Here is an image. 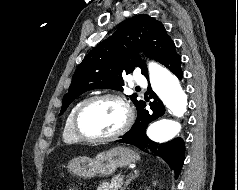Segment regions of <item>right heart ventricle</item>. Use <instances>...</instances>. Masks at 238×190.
I'll return each instance as SVG.
<instances>
[{"label": "right heart ventricle", "instance_id": "obj_1", "mask_svg": "<svg viewBox=\"0 0 238 190\" xmlns=\"http://www.w3.org/2000/svg\"><path fill=\"white\" fill-rule=\"evenodd\" d=\"M83 102V100L78 101L70 110L66 122H65V126L63 129V139L65 142L67 143H74V142H78L79 141V137L76 135V133L74 132L73 129V117L75 114V111L77 110V108L79 107V105Z\"/></svg>", "mask_w": 238, "mask_h": 190}]
</instances>
